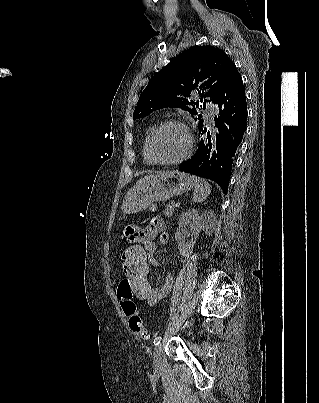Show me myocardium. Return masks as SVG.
Returning <instances> with one entry per match:
<instances>
[{"label":"myocardium","mask_w":319,"mask_h":403,"mask_svg":"<svg viewBox=\"0 0 319 403\" xmlns=\"http://www.w3.org/2000/svg\"><path fill=\"white\" fill-rule=\"evenodd\" d=\"M170 125H174V126H178L180 128L183 129V131L186 134L187 137V147L185 152L178 158L175 159H171V160H159L156 159L153 156L152 153V142L153 139L155 137V135L164 127L166 126H170ZM193 148H194V138L192 135V132L190 130V128L188 127V125L186 123H184L181 120H177V119H167L162 121L161 123H159L158 125H156L150 132L147 141H146V154L148 159L154 163V164H159V165H174V164H180L184 161H186L187 159L190 158V156L192 155L193 152Z\"/></svg>","instance_id":"obj_1"}]
</instances>
